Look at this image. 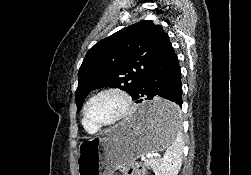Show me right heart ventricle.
Listing matches in <instances>:
<instances>
[{
  "instance_id": "right-heart-ventricle-1",
  "label": "right heart ventricle",
  "mask_w": 251,
  "mask_h": 175,
  "mask_svg": "<svg viewBox=\"0 0 251 175\" xmlns=\"http://www.w3.org/2000/svg\"><path fill=\"white\" fill-rule=\"evenodd\" d=\"M84 130L91 135L97 134L98 130L94 129L93 127L89 126L87 123L82 122Z\"/></svg>"
}]
</instances>
